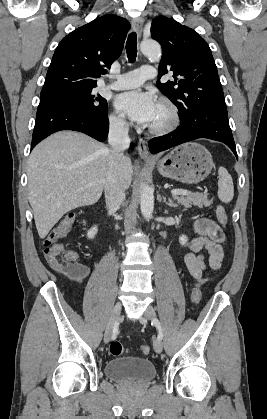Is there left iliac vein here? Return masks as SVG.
Masks as SVG:
<instances>
[{
	"mask_svg": "<svg viewBox=\"0 0 267 419\" xmlns=\"http://www.w3.org/2000/svg\"><path fill=\"white\" fill-rule=\"evenodd\" d=\"M155 318H156L155 310L151 306H149L147 307L144 316L140 319V322L145 325L147 322V319L153 320ZM153 348L156 353H161L163 349L161 340H159L158 338L155 339L153 341Z\"/></svg>",
	"mask_w": 267,
	"mask_h": 419,
	"instance_id": "obj_1",
	"label": "left iliac vein"
}]
</instances>
